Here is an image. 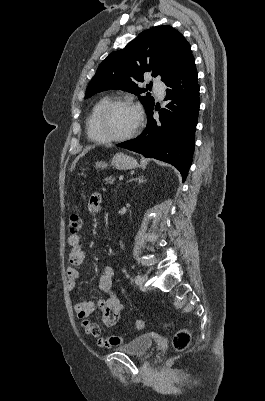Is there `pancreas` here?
I'll return each mask as SVG.
<instances>
[{
  "mask_svg": "<svg viewBox=\"0 0 265 401\" xmlns=\"http://www.w3.org/2000/svg\"><path fill=\"white\" fill-rule=\"evenodd\" d=\"M104 180H106L107 184H113L115 178H113V176H107Z\"/></svg>",
  "mask_w": 265,
  "mask_h": 401,
  "instance_id": "1",
  "label": "pancreas"
}]
</instances>
